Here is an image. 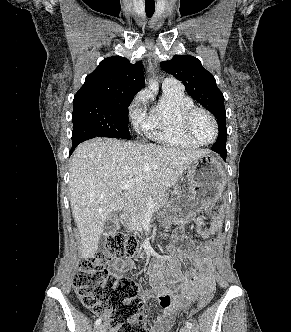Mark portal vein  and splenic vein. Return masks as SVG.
<instances>
[{"label":"portal vein and splenic vein","instance_id":"portal-vein-and-splenic-vein-1","mask_svg":"<svg viewBox=\"0 0 291 332\" xmlns=\"http://www.w3.org/2000/svg\"><path fill=\"white\" fill-rule=\"evenodd\" d=\"M133 185V181H127L121 184V189L122 190H128L131 186ZM152 201H147V204H151Z\"/></svg>","mask_w":291,"mask_h":332}]
</instances>
